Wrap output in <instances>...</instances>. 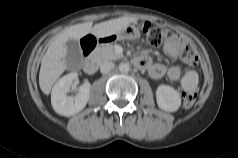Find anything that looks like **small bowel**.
<instances>
[{
    "mask_svg": "<svg viewBox=\"0 0 238 158\" xmlns=\"http://www.w3.org/2000/svg\"><path fill=\"white\" fill-rule=\"evenodd\" d=\"M184 39L177 37L169 40L164 45V52L176 59L179 57L184 44ZM141 62V67L146 69L149 75L154 79H161L166 76L171 81H178L181 77V69L178 66H165L161 63H153L147 56L143 55L138 58Z\"/></svg>",
    "mask_w": 238,
    "mask_h": 158,
    "instance_id": "c3829d8e",
    "label": "small bowel"
}]
</instances>
